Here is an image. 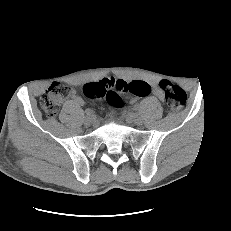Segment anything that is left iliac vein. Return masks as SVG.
Listing matches in <instances>:
<instances>
[{
	"label": "left iliac vein",
	"instance_id": "1",
	"mask_svg": "<svg viewBox=\"0 0 231 231\" xmlns=\"http://www.w3.org/2000/svg\"><path fill=\"white\" fill-rule=\"evenodd\" d=\"M131 121L135 124V125H141L143 122L142 117L139 114H133L131 116Z\"/></svg>",
	"mask_w": 231,
	"mask_h": 231
}]
</instances>
